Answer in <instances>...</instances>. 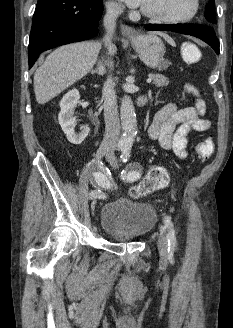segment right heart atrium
<instances>
[{
  "label": "right heart atrium",
  "mask_w": 233,
  "mask_h": 328,
  "mask_svg": "<svg viewBox=\"0 0 233 328\" xmlns=\"http://www.w3.org/2000/svg\"><path fill=\"white\" fill-rule=\"evenodd\" d=\"M106 8H107L108 12H110L112 14L116 13L119 10V6L112 2L106 3Z\"/></svg>",
  "instance_id": "1"
}]
</instances>
